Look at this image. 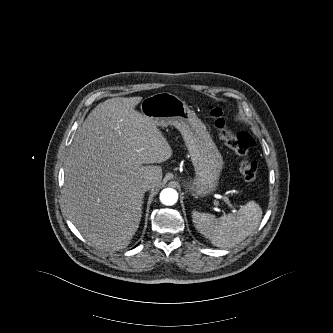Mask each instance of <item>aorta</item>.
<instances>
[{
    "label": "aorta",
    "instance_id": "aorta-1",
    "mask_svg": "<svg viewBox=\"0 0 333 333\" xmlns=\"http://www.w3.org/2000/svg\"><path fill=\"white\" fill-rule=\"evenodd\" d=\"M178 200V193L175 189L165 188L160 193V201L167 206L174 205Z\"/></svg>",
    "mask_w": 333,
    "mask_h": 333
}]
</instances>
